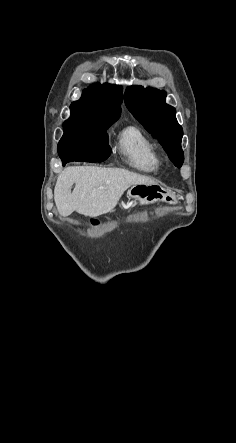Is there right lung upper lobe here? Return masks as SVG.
Listing matches in <instances>:
<instances>
[{
	"label": "right lung upper lobe",
	"instance_id": "obj_1",
	"mask_svg": "<svg viewBox=\"0 0 236 443\" xmlns=\"http://www.w3.org/2000/svg\"><path fill=\"white\" fill-rule=\"evenodd\" d=\"M121 86L105 83L93 84L83 91L82 97L70 105L72 115L111 116L119 118L123 101Z\"/></svg>",
	"mask_w": 236,
	"mask_h": 443
}]
</instances>
